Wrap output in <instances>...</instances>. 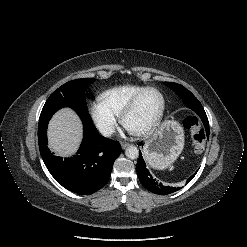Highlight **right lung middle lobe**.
Returning <instances> with one entry per match:
<instances>
[{"label":"right lung middle lobe","mask_w":247,"mask_h":247,"mask_svg":"<svg viewBox=\"0 0 247 247\" xmlns=\"http://www.w3.org/2000/svg\"><path fill=\"white\" fill-rule=\"evenodd\" d=\"M95 81L94 78L75 79L55 90L47 99L49 101H62L68 105L87 109L85 91Z\"/></svg>","instance_id":"right-lung-middle-lobe-1"}]
</instances>
